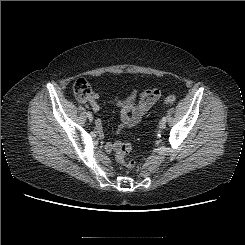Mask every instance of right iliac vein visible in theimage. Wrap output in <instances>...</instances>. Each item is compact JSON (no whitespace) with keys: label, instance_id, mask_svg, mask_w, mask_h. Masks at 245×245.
I'll return each mask as SVG.
<instances>
[{"label":"right iliac vein","instance_id":"obj_1","mask_svg":"<svg viewBox=\"0 0 245 245\" xmlns=\"http://www.w3.org/2000/svg\"><path fill=\"white\" fill-rule=\"evenodd\" d=\"M88 120L92 121L93 120V116H88Z\"/></svg>","mask_w":245,"mask_h":245}]
</instances>
